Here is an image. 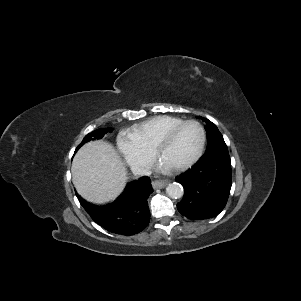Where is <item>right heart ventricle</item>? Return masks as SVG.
Here are the masks:
<instances>
[{
	"mask_svg": "<svg viewBox=\"0 0 301 301\" xmlns=\"http://www.w3.org/2000/svg\"><path fill=\"white\" fill-rule=\"evenodd\" d=\"M184 120L180 117L160 115L152 117L141 123L135 124L128 134L134 138L142 147L153 151L157 139L166 131L180 124Z\"/></svg>",
	"mask_w": 301,
	"mask_h": 301,
	"instance_id": "right-heart-ventricle-1",
	"label": "right heart ventricle"
}]
</instances>
